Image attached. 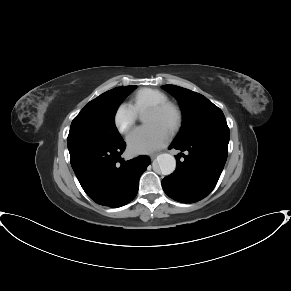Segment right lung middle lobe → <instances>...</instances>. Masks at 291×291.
Masks as SVG:
<instances>
[{"label": "right lung middle lobe", "instance_id": "1", "mask_svg": "<svg viewBox=\"0 0 291 291\" xmlns=\"http://www.w3.org/2000/svg\"><path fill=\"white\" fill-rule=\"evenodd\" d=\"M135 88V85L117 87L90 101L73 119L67 141H90L105 145L123 141L114 117L120 103Z\"/></svg>", "mask_w": 291, "mask_h": 291}]
</instances>
